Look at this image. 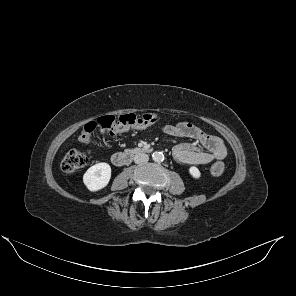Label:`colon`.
<instances>
[{
    "mask_svg": "<svg viewBox=\"0 0 296 296\" xmlns=\"http://www.w3.org/2000/svg\"><path fill=\"white\" fill-rule=\"evenodd\" d=\"M160 121V116L154 113L143 115H135L132 113L124 114L118 118L112 115H105L99 117L95 121L87 123L79 139L83 143L91 142L96 131L102 134L115 135L133 129H141L153 125ZM88 162V155L86 152L79 149L69 150L63 157L61 167L66 173H73L78 169L84 167ZM225 166L221 162H216L210 167V173L213 176L219 177L224 173Z\"/></svg>",
    "mask_w": 296,
    "mask_h": 296,
    "instance_id": "obj_1",
    "label": "colon"
}]
</instances>
